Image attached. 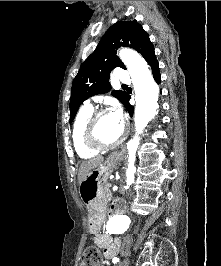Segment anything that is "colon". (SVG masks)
Segmentation results:
<instances>
[{
	"label": "colon",
	"instance_id": "obj_1",
	"mask_svg": "<svg viewBox=\"0 0 221 266\" xmlns=\"http://www.w3.org/2000/svg\"><path fill=\"white\" fill-rule=\"evenodd\" d=\"M101 256L99 250L90 246L85 249L82 255L81 266H100Z\"/></svg>",
	"mask_w": 221,
	"mask_h": 266
}]
</instances>
